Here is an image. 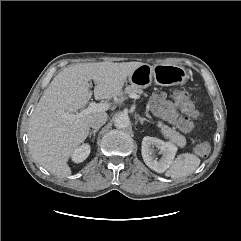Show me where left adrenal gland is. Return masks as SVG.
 I'll list each match as a JSON object with an SVG mask.
<instances>
[{
	"mask_svg": "<svg viewBox=\"0 0 241 241\" xmlns=\"http://www.w3.org/2000/svg\"><path fill=\"white\" fill-rule=\"evenodd\" d=\"M138 120H139V122L141 123V125H143V122H144V121L149 122V123H152L150 120H148V119H146V118H144V117H140V116H138Z\"/></svg>",
	"mask_w": 241,
	"mask_h": 241,
	"instance_id": "obj_1",
	"label": "left adrenal gland"
}]
</instances>
